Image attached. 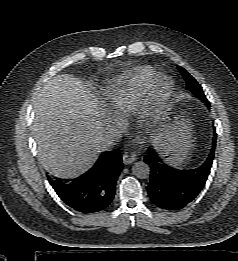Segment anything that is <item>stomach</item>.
<instances>
[{"label": "stomach", "mask_w": 238, "mask_h": 261, "mask_svg": "<svg viewBox=\"0 0 238 261\" xmlns=\"http://www.w3.org/2000/svg\"><path fill=\"white\" fill-rule=\"evenodd\" d=\"M150 135L165 163L176 167L188 156L192 143L189 120L174 108L170 107L156 117Z\"/></svg>", "instance_id": "obj_1"}]
</instances>
